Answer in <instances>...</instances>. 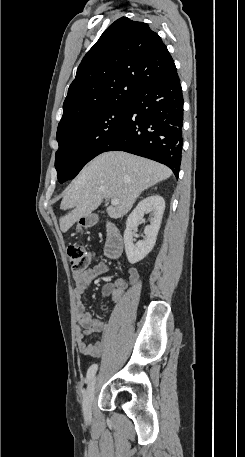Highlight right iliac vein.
I'll return each mask as SVG.
<instances>
[{
	"instance_id": "obj_1",
	"label": "right iliac vein",
	"mask_w": 245,
	"mask_h": 457,
	"mask_svg": "<svg viewBox=\"0 0 245 457\" xmlns=\"http://www.w3.org/2000/svg\"><path fill=\"white\" fill-rule=\"evenodd\" d=\"M95 388H96V378L93 376L91 380L89 381V385L87 387V390L84 394L83 398V414L86 420H89L91 418V413H92V403L94 400V395H95Z\"/></svg>"
}]
</instances>
